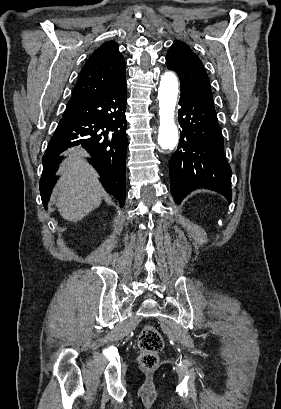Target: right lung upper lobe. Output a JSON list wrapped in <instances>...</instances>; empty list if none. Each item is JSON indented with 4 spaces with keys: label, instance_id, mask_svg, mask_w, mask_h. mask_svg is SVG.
I'll return each mask as SVG.
<instances>
[{
    "label": "right lung upper lobe",
    "instance_id": "obj_1",
    "mask_svg": "<svg viewBox=\"0 0 281 409\" xmlns=\"http://www.w3.org/2000/svg\"><path fill=\"white\" fill-rule=\"evenodd\" d=\"M118 44L108 41L96 49L83 66L71 100L101 95L125 80V61Z\"/></svg>",
    "mask_w": 281,
    "mask_h": 409
}]
</instances>
